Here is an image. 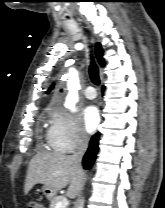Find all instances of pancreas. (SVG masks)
I'll use <instances>...</instances> for the list:
<instances>
[{"label":"pancreas","instance_id":"pancreas-1","mask_svg":"<svg viewBox=\"0 0 165 208\" xmlns=\"http://www.w3.org/2000/svg\"><path fill=\"white\" fill-rule=\"evenodd\" d=\"M64 199L63 196H56L51 200L50 208H56V204Z\"/></svg>","mask_w":165,"mask_h":208}]
</instances>
